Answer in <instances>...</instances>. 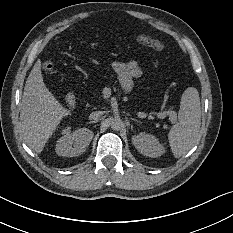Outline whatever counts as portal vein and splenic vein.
Masks as SVG:
<instances>
[{
  "label": "portal vein and splenic vein",
  "instance_id": "obj_1",
  "mask_svg": "<svg viewBox=\"0 0 233 233\" xmlns=\"http://www.w3.org/2000/svg\"><path fill=\"white\" fill-rule=\"evenodd\" d=\"M138 117H140V118H146L147 117V114L146 113H144V112H138ZM171 122L172 123H175L176 122V118H171Z\"/></svg>",
  "mask_w": 233,
  "mask_h": 233
}]
</instances>
